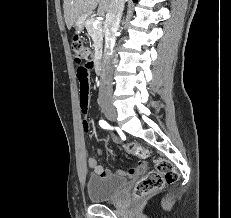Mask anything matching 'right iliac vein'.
<instances>
[{"instance_id":"obj_1","label":"right iliac vein","mask_w":231,"mask_h":218,"mask_svg":"<svg viewBox=\"0 0 231 218\" xmlns=\"http://www.w3.org/2000/svg\"><path fill=\"white\" fill-rule=\"evenodd\" d=\"M102 112L105 114V116L111 120L115 121L117 117V113L114 109V107L110 104H106L102 106Z\"/></svg>"}]
</instances>
